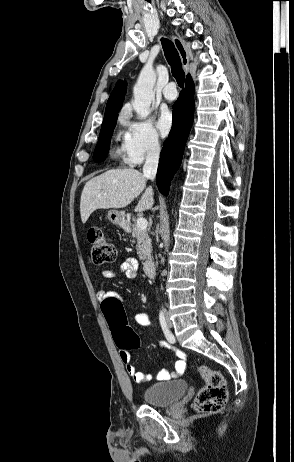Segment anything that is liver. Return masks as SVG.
<instances>
[{"mask_svg": "<svg viewBox=\"0 0 294 462\" xmlns=\"http://www.w3.org/2000/svg\"><path fill=\"white\" fill-rule=\"evenodd\" d=\"M146 177L135 169H113L89 180L82 191L80 214L82 223L97 209L124 208L142 191L135 212H143L154 204L152 187L146 188Z\"/></svg>", "mask_w": 294, "mask_h": 462, "instance_id": "1", "label": "liver"}]
</instances>
